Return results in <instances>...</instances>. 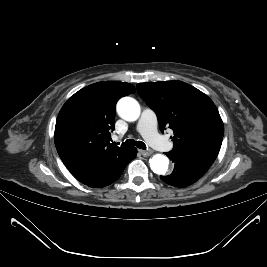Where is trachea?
I'll return each mask as SVG.
<instances>
[{
  "label": "trachea",
  "mask_w": 267,
  "mask_h": 267,
  "mask_svg": "<svg viewBox=\"0 0 267 267\" xmlns=\"http://www.w3.org/2000/svg\"><path fill=\"white\" fill-rule=\"evenodd\" d=\"M121 146H125V147H132V146H136L137 148L146 150V145L144 142L141 141H135L133 139H128L125 142L122 143Z\"/></svg>",
  "instance_id": "obj_1"
}]
</instances>
